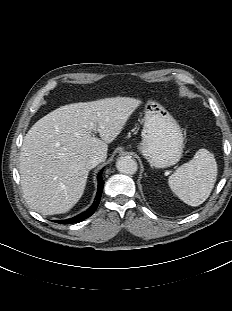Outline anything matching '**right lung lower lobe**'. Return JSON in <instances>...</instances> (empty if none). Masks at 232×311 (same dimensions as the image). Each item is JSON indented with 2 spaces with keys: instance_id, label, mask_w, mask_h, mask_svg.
<instances>
[{
  "instance_id": "98d812e1",
  "label": "right lung lower lobe",
  "mask_w": 232,
  "mask_h": 311,
  "mask_svg": "<svg viewBox=\"0 0 232 311\" xmlns=\"http://www.w3.org/2000/svg\"><path fill=\"white\" fill-rule=\"evenodd\" d=\"M102 172H103V170L98 175V191H97V195H96V198H95L93 205L89 209H87L85 212H82L81 214H79L73 218H70V219L56 221L57 223H61V224L78 223L80 221L87 219L88 217H90L95 212V210H96V208L100 202L102 191H103L104 181H103V178L101 176Z\"/></svg>"
}]
</instances>
